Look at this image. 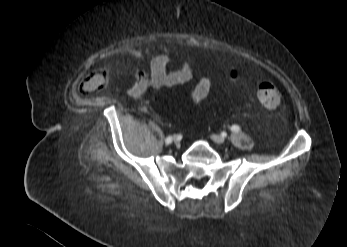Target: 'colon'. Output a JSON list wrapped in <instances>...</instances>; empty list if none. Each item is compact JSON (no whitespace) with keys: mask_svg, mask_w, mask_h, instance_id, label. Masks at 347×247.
Instances as JSON below:
<instances>
[{"mask_svg":"<svg viewBox=\"0 0 347 247\" xmlns=\"http://www.w3.org/2000/svg\"><path fill=\"white\" fill-rule=\"evenodd\" d=\"M88 93V92H87ZM256 98L267 108H276L280 103L278 81L272 75L261 76L256 85Z\"/></svg>","mask_w":347,"mask_h":247,"instance_id":"colon-1","label":"colon"}]
</instances>
